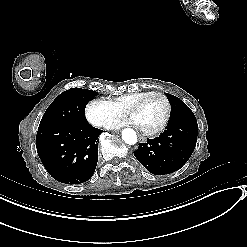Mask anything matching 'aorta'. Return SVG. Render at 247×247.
I'll list each match as a JSON object with an SVG mask.
<instances>
[{
    "mask_svg": "<svg viewBox=\"0 0 247 247\" xmlns=\"http://www.w3.org/2000/svg\"><path fill=\"white\" fill-rule=\"evenodd\" d=\"M122 139L126 144L134 145L137 142V135L133 129L126 128L122 131Z\"/></svg>",
    "mask_w": 247,
    "mask_h": 247,
    "instance_id": "aorta-1",
    "label": "aorta"
}]
</instances>
